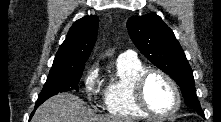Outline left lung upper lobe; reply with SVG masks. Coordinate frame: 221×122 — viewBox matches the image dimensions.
Listing matches in <instances>:
<instances>
[{"label":"left lung upper lobe","instance_id":"5c2ea615","mask_svg":"<svg viewBox=\"0 0 221 122\" xmlns=\"http://www.w3.org/2000/svg\"><path fill=\"white\" fill-rule=\"evenodd\" d=\"M127 28L141 53L179 85L187 106L202 113L193 72L172 30L155 13L129 18Z\"/></svg>","mask_w":221,"mask_h":122}]
</instances>
